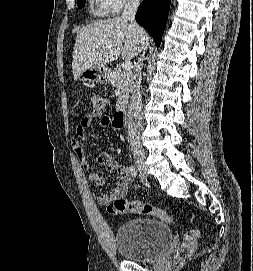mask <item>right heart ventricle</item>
Listing matches in <instances>:
<instances>
[{"mask_svg": "<svg viewBox=\"0 0 253 271\" xmlns=\"http://www.w3.org/2000/svg\"><path fill=\"white\" fill-rule=\"evenodd\" d=\"M95 4L93 5L94 9L99 13H109L107 9L100 3L99 0H91Z\"/></svg>", "mask_w": 253, "mask_h": 271, "instance_id": "right-heart-ventricle-1", "label": "right heart ventricle"}]
</instances>
